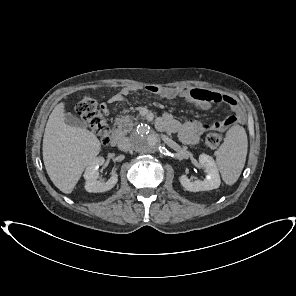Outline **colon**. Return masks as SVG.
Returning <instances> with one entry per match:
<instances>
[{
    "label": "colon",
    "instance_id": "1",
    "mask_svg": "<svg viewBox=\"0 0 296 296\" xmlns=\"http://www.w3.org/2000/svg\"><path fill=\"white\" fill-rule=\"evenodd\" d=\"M76 112L89 128L96 134L100 142L107 145L110 141L109 126L103 116L102 106L89 95H84L76 105ZM223 134L211 132L205 138V143L210 148H216L222 142Z\"/></svg>",
    "mask_w": 296,
    "mask_h": 296
}]
</instances>
